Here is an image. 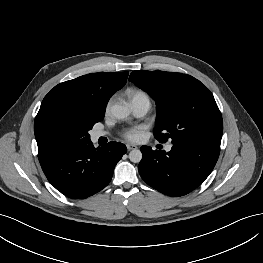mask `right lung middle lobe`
<instances>
[{"mask_svg": "<svg viewBox=\"0 0 263 263\" xmlns=\"http://www.w3.org/2000/svg\"><path fill=\"white\" fill-rule=\"evenodd\" d=\"M104 111L55 113L43 124L44 132L38 144L39 161L57 152L90 140L88 131L103 119Z\"/></svg>", "mask_w": 263, "mask_h": 263, "instance_id": "1", "label": "right lung middle lobe"}]
</instances>
